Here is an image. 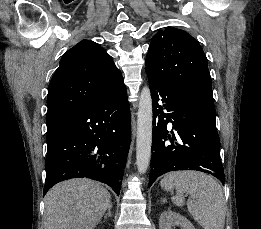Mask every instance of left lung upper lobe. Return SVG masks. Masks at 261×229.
I'll return each instance as SVG.
<instances>
[{
  "label": "left lung upper lobe",
  "mask_w": 261,
  "mask_h": 229,
  "mask_svg": "<svg viewBox=\"0 0 261 229\" xmlns=\"http://www.w3.org/2000/svg\"><path fill=\"white\" fill-rule=\"evenodd\" d=\"M145 70L148 75L169 84L196 87L213 93L203 49L196 39L183 30L167 28L152 38Z\"/></svg>",
  "instance_id": "1"
}]
</instances>
